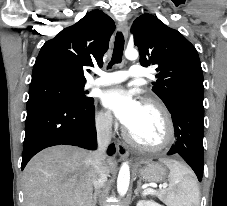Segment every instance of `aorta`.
<instances>
[{
	"label": "aorta",
	"instance_id": "762f6f07",
	"mask_svg": "<svg viewBox=\"0 0 227 206\" xmlns=\"http://www.w3.org/2000/svg\"><path fill=\"white\" fill-rule=\"evenodd\" d=\"M125 57L129 60H136L138 58V51L134 48H127L125 50ZM130 169L127 162H124L119 170L117 179V191L120 196H124L129 187Z\"/></svg>",
	"mask_w": 227,
	"mask_h": 206
}]
</instances>
